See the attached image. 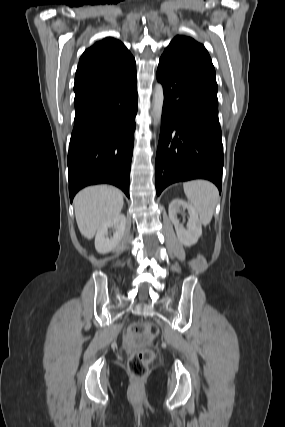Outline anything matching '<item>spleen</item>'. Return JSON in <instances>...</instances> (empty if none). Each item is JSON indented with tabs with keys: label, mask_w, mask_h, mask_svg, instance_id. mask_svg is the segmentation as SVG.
Wrapping results in <instances>:
<instances>
[{
	"label": "spleen",
	"mask_w": 285,
	"mask_h": 427,
	"mask_svg": "<svg viewBox=\"0 0 285 427\" xmlns=\"http://www.w3.org/2000/svg\"><path fill=\"white\" fill-rule=\"evenodd\" d=\"M183 189L188 201L199 214L201 223L208 225L219 197L216 186L206 180H193L185 182Z\"/></svg>",
	"instance_id": "spleen-1"
}]
</instances>
